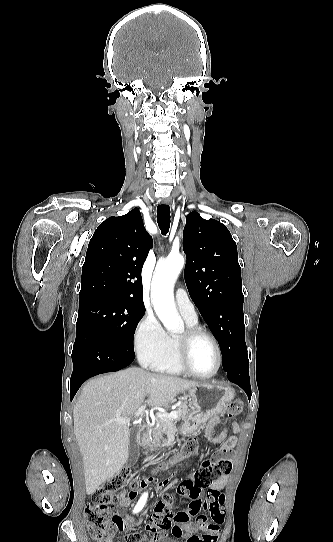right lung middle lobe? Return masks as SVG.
<instances>
[{"mask_svg":"<svg viewBox=\"0 0 333 542\" xmlns=\"http://www.w3.org/2000/svg\"><path fill=\"white\" fill-rule=\"evenodd\" d=\"M145 307L92 299L79 305L76 329L91 325L101 329L112 341L135 355L133 337Z\"/></svg>","mask_w":333,"mask_h":542,"instance_id":"dd1d6c3e","label":"right lung middle lobe"}]
</instances>
